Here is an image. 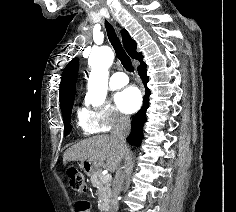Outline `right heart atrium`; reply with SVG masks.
I'll return each instance as SVG.
<instances>
[{"label": "right heart atrium", "instance_id": "1", "mask_svg": "<svg viewBox=\"0 0 236 212\" xmlns=\"http://www.w3.org/2000/svg\"><path fill=\"white\" fill-rule=\"evenodd\" d=\"M78 119L81 130L87 135L108 132L127 122V118L110 103L97 109L83 107L78 113Z\"/></svg>", "mask_w": 236, "mask_h": 212}]
</instances>
